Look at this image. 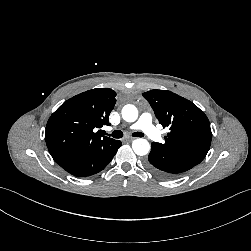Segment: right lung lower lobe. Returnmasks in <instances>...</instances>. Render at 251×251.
I'll return each mask as SVG.
<instances>
[{"instance_id": "1", "label": "right lung lower lobe", "mask_w": 251, "mask_h": 251, "mask_svg": "<svg viewBox=\"0 0 251 251\" xmlns=\"http://www.w3.org/2000/svg\"><path fill=\"white\" fill-rule=\"evenodd\" d=\"M121 146V141L114 140L109 145L94 149L84 159L76 161L64 169L77 177H86L103 170L113 159Z\"/></svg>"}]
</instances>
